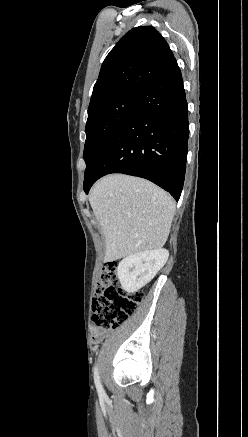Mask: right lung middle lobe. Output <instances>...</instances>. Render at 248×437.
Here are the masks:
<instances>
[{"label": "right lung middle lobe", "instance_id": "right-lung-middle-lobe-1", "mask_svg": "<svg viewBox=\"0 0 248 437\" xmlns=\"http://www.w3.org/2000/svg\"><path fill=\"white\" fill-rule=\"evenodd\" d=\"M138 94V92L124 93L88 113L83 154L86 163L84 176L89 173L101 149L129 114Z\"/></svg>", "mask_w": 248, "mask_h": 437}]
</instances>
